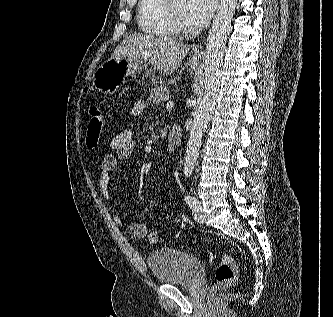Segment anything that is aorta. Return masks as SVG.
<instances>
[{
    "instance_id": "obj_1",
    "label": "aorta",
    "mask_w": 333,
    "mask_h": 317,
    "mask_svg": "<svg viewBox=\"0 0 333 317\" xmlns=\"http://www.w3.org/2000/svg\"><path fill=\"white\" fill-rule=\"evenodd\" d=\"M236 6L237 0H221L219 10L209 30L205 56L204 91L200 106L194 113V120L189 135L183 167L185 178L190 177L194 171L203 133L215 110L221 84L223 54L227 33Z\"/></svg>"
}]
</instances>
